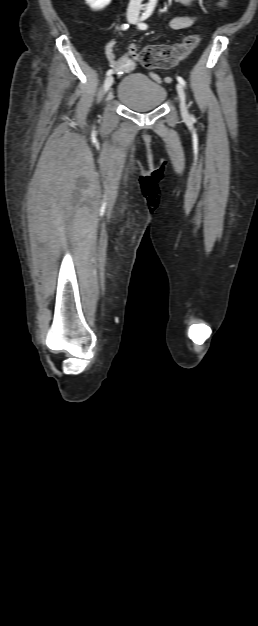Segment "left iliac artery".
Instances as JSON below:
<instances>
[{"label": "left iliac artery", "mask_w": 258, "mask_h": 626, "mask_svg": "<svg viewBox=\"0 0 258 626\" xmlns=\"http://www.w3.org/2000/svg\"><path fill=\"white\" fill-rule=\"evenodd\" d=\"M151 13H152L151 11H147V12H145V13L141 16V18H140V23L138 24V26H139V28H140V29H142V30H146V29L148 28V25H147L146 23H144V20H146V19H147V18L151 15ZM177 81H178V82H179L182 86H184V87L186 86V82H185V80H184L182 77L177 76Z\"/></svg>", "instance_id": "left-iliac-artery-1"}]
</instances>
